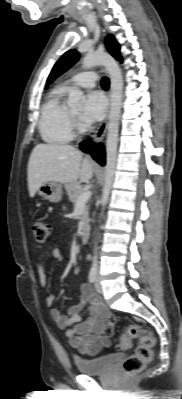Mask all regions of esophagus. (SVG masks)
I'll return each instance as SVG.
<instances>
[{"label":"esophagus","mask_w":182,"mask_h":399,"mask_svg":"<svg viewBox=\"0 0 182 399\" xmlns=\"http://www.w3.org/2000/svg\"><path fill=\"white\" fill-rule=\"evenodd\" d=\"M109 109H110V90L108 91V108L105 112L102 122L100 123L97 130L94 132L92 136V142L95 144L102 142L106 135L109 123ZM87 156H90V154H87Z\"/></svg>","instance_id":"esophagus-1"}]
</instances>
